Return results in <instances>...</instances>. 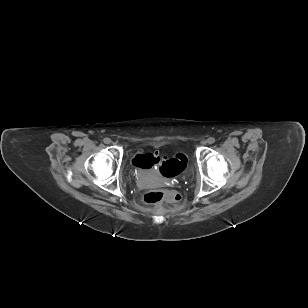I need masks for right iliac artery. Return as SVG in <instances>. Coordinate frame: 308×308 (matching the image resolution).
I'll return each instance as SVG.
<instances>
[{"mask_svg": "<svg viewBox=\"0 0 308 308\" xmlns=\"http://www.w3.org/2000/svg\"><path fill=\"white\" fill-rule=\"evenodd\" d=\"M104 142L107 143V144H109V143H111V140H110L109 138H105V139H104Z\"/></svg>", "mask_w": 308, "mask_h": 308, "instance_id": "82829eb1", "label": "right iliac artery"}]
</instances>
